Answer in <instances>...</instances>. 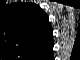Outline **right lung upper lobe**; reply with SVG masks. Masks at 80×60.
<instances>
[{
  "label": "right lung upper lobe",
  "mask_w": 80,
  "mask_h": 60,
  "mask_svg": "<svg viewBox=\"0 0 80 60\" xmlns=\"http://www.w3.org/2000/svg\"><path fill=\"white\" fill-rule=\"evenodd\" d=\"M6 12L2 34L10 48L27 56L43 52L51 29L47 14L33 3L12 4Z\"/></svg>",
  "instance_id": "right-lung-upper-lobe-1"
}]
</instances>
